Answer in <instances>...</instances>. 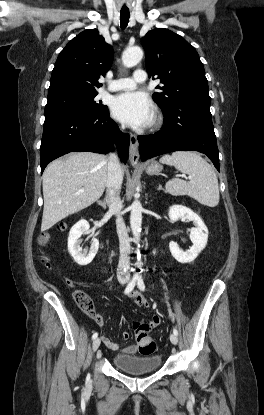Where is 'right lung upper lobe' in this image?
<instances>
[{"label":"right lung upper lobe","mask_w":264,"mask_h":415,"mask_svg":"<svg viewBox=\"0 0 264 415\" xmlns=\"http://www.w3.org/2000/svg\"><path fill=\"white\" fill-rule=\"evenodd\" d=\"M112 59L111 47L96 29L81 32L60 52L52 71L48 97L96 91L102 85L97 80L109 70Z\"/></svg>","instance_id":"1"}]
</instances>
